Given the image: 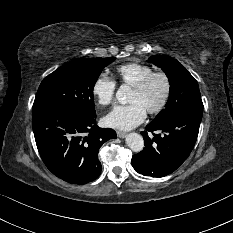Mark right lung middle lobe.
<instances>
[{
	"mask_svg": "<svg viewBox=\"0 0 233 233\" xmlns=\"http://www.w3.org/2000/svg\"><path fill=\"white\" fill-rule=\"evenodd\" d=\"M114 60L115 58H83L58 68L41 82L33 110L66 109L95 115L94 85L102 69Z\"/></svg>",
	"mask_w": 233,
	"mask_h": 233,
	"instance_id": "right-lung-middle-lobe-1",
	"label": "right lung middle lobe"
}]
</instances>
